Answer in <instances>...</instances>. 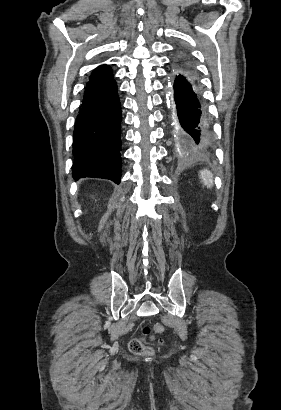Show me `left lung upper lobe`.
<instances>
[{
  "mask_svg": "<svg viewBox=\"0 0 281 410\" xmlns=\"http://www.w3.org/2000/svg\"><path fill=\"white\" fill-rule=\"evenodd\" d=\"M174 70L197 77L193 63L185 57H181L177 60Z\"/></svg>",
  "mask_w": 281,
  "mask_h": 410,
  "instance_id": "left-lung-upper-lobe-1",
  "label": "left lung upper lobe"
}]
</instances>
